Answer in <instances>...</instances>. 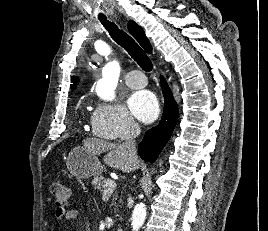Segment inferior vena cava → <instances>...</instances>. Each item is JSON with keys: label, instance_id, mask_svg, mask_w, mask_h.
Listing matches in <instances>:
<instances>
[{"label": "inferior vena cava", "instance_id": "1", "mask_svg": "<svg viewBox=\"0 0 268 231\" xmlns=\"http://www.w3.org/2000/svg\"><path fill=\"white\" fill-rule=\"evenodd\" d=\"M140 134V127L136 123H132L129 130L128 134L126 137L125 142L123 143L128 156L130 160L132 161H137V152H136V144H135V137H137Z\"/></svg>", "mask_w": 268, "mask_h": 231}]
</instances>
